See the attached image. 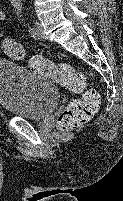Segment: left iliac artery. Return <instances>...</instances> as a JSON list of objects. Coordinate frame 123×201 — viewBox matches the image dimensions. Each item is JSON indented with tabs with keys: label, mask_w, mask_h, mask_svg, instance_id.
Segmentation results:
<instances>
[{
	"label": "left iliac artery",
	"mask_w": 123,
	"mask_h": 201,
	"mask_svg": "<svg viewBox=\"0 0 123 201\" xmlns=\"http://www.w3.org/2000/svg\"><path fill=\"white\" fill-rule=\"evenodd\" d=\"M12 4H13L15 11L18 14H20L22 12V8H23L21 0H12ZM29 33L32 35V37H35L36 36V29L34 27H30Z\"/></svg>",
	"instance_id": "44dca946"
}]
</instances>
